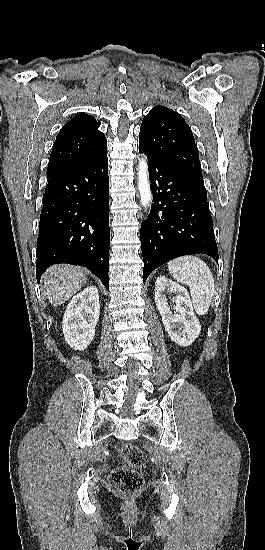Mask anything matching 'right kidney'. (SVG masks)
Here are the masks:
<instances>
[{
    "instance_id": "right-kidney-1",
    "label": "right kidney",
    "mask_w": 265,
    "mask_h": 550,
    "mask_svg": "<svg viewBox=\"0 0 265 550\" xmlns=\"http://www.w3.org/2000/svg\"><path fill=\"white\" fill-rule=\"evenodd\" d=\"M99 314L97 287H87L72 298L62 321L65 341L70 347L75 350H84L88 347L94 338Z\"/></svg>"
}]
</instances>
